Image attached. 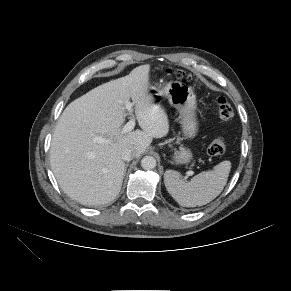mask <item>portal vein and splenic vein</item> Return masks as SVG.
Segmentation results:
<instances>
[{
	"label": "portal vein and splenic vein",
	"instance_id": "obj_1",
	"mask_svg": "<svg viewBox=\"0 0 291 291\" xmlns=\"http://www.w3.org/2000/svg\"><path fill=\"white\" fill-rule=\"evenodd\" d=\"M132 106H133L132 103H130V102L126 103V109L128 110L129 115L131 116V119L122 128V133L123 134L132 131L134 129V127H135V119H134V116L132 114ZM94 141L98 142V143L106 142V140L104 138H102V137H95ZM192 174H193V172H191V171L187 172V176H191Z\"/></svg>",
	"mask_w": 291,
	"mask_h": 291
}]
</instances>
